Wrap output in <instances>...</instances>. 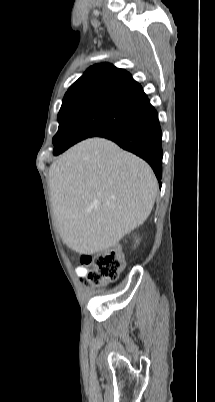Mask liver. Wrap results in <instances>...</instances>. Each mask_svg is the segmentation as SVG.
Listing matches in <instances>:
<instances>
[{"label": "liver", "mask_w": 215, "mask_h": 402, "mask_svg": "<svg viewBox=\"0 0 215 402\" xmlns=\"http://www.w3.org/2000/svg\"><path fill=\"white\" fill-rule=\"evenodd\" d=\"M58 231L89 255L115 246L150 215L158 191L151 167L104 138L86 139L49 168Z\"/></svg>", "instance_id": "1"}]
</instances>
